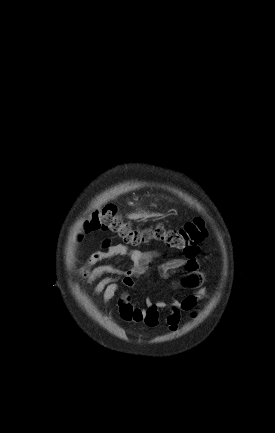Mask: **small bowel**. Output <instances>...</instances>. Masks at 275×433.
<instances>
[{
    "mask_svg": "<svg viewBox=\"0 0 275 433\" xmlns=\"http://www.w3.org/2000/svg\"><path fill=\"white\" fill-rule=\"evenodd\" d=\"M197 255L198 249L196 255L192 257L170 259L158 266V273L164 279L180 273L175 284L192 292L182 299L172 302L146 299L144 305L141 306L133 302L129 294L122 289L133 288L136 277L151 273V263L156 257L154 252L129 249L121 244H111L109 240H105L103 248L93 252L88 257L80 270V274L93 286L94 294L100 296L106 306L118 296L117 307L122 320L142 323L147 327L154 328L159 323L160 312L167 311V326L171 331H175L180 323L182 312H193L198 303L207 296V290L203 287L205 275L200 270ZM114 257H126L131 260L133 265L127 269L114 264L97 265Z\"/></svg>",
    "mask_w": 275,
    "mask_h": 433,
    "instance_id": "obj_1",
    "label": "small bowel"
}]
</instances>
